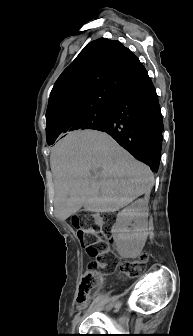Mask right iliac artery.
Wrapping results in <instances>:
<instances>
[{"mask_svg": "<svg viewBox=\"0 0 193 336\" xmlns=\"http://www.w3.org/2000/svg\"><path fill=\"white\" fill-rule=\"evenodd\" d=\"M79 318H80V315H79V314H77V315L74 317V319H73V321H72L73 326L76 325V323L78 322Z\"/></svg>", "mask_w": 193, "mask_h": 336, "instance_id": "82829eb1", "label": "right iliac artery"}]
</instances>
